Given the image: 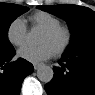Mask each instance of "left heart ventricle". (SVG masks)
<instances>
[{
    "label": "left heart ventricle",
    "mask_w": 95,
    "mask_h": 95,
    "mask_svg": "<svg viewBox=\"0 0 95 95\" xmlns=\"http://www.w3.org/2000/svg\"><path fill=\"white\" fill-rule=\"evenodd\" d=\"M64 42V35L58 34L54 37H50L46 35L44 32L41 34L38 43L39 44H47L50 46L52 51L54 52L56 49H58Z\"/></svg>",
    "instance_id": "left-heart-ventricle-1"
}]
</instances>
